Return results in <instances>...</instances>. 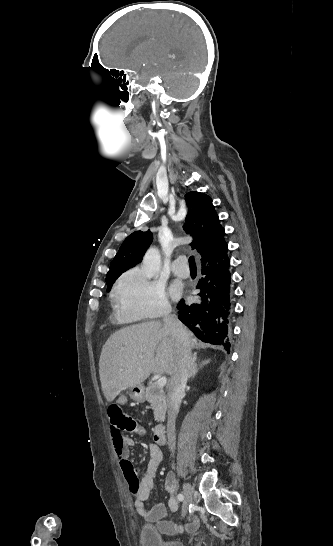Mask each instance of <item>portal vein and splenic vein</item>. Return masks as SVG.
<instances>
[{
  "label": "portal vein and splenic vein",
  "mask_w": 333,
  "mask_h": 546,
  "mask_svg": "<svg viewBox=\"0 0 333 546\" xmlns=\"http://www.w3.org/2000/svg\"><path fill=\"white\" fill-rule=\"evenodd\" d=\"M156 383L159 387H164L167 384V378L165 376H162L157 380Z\"/></svg>",
  "instance_id": "1"
}]
</instances>
